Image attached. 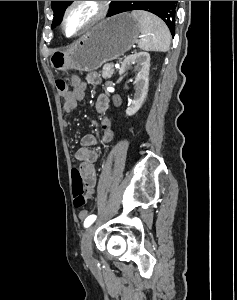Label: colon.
<instances>
[{"mask_svg": "<svg viewBox=\"0 0 237 300\" xmlns=\"http://www.w3.org/2000/svg\"><path fill=\"white\" fill-rule=\"evenodd\" d=\"M56 86L60 93L69 92L67 84L63 79L56 80ZM70 92H72L76 98L82 99L85 92V85L80 84L77 87H73ZM72 193L75 207L80 208L84 206L86 203V197L84 195V181L78 168L72 169Z\"/></svg>", "mask_w": 237, "mask_h": 300, "instance_id": "obj_1", "label": "colon"}]
</instances>
